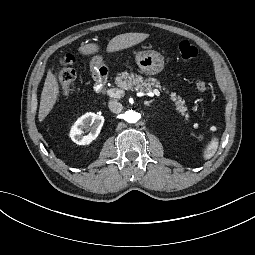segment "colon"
Wrapping results in <instances>:
<instances>
[{
    "label": "colon",
    "instance_id": "1",
    "mask_svg": "<svg viewBox=\"0 0 255 255\" xmlns=\"http://www.w3.org/2000/svg\"><path fill=\"white\" fill-rule=\"evenodd\" d=\"M178 53L183 60H191L197 57L198 50L188 41H182L178 46ZM73 60V57H68L64 66H62L57 72L59 85L64 94H68L70 92L76 77L75 71L72 67ZM196 87L199 91H205L207 89V83L203 80H199L196 83Z\"/></svg>",
    "mask_w": 255,
    "mask_h": 255
}]
</instances>
